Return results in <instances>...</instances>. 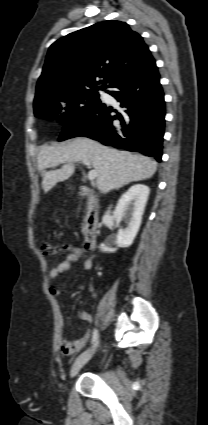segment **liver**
<instances>
[{
  "label": "liver",
  "mask_w": 208,
  "mask_h": 425,
  "mask_svg": "<svg viewBox=\"0 0 208 425\" xmlns=\"http://www.w3.org/2000/svg\"><path fill=\"white\" fill-rule=\"evenodd\" d=\"M88 162L97 172L96 186L106 194L131 182L151 178L157 163L149 157L106 147L88 138H76L66 145L44 146L38 155V170L45 193L69 179L76 162ZM63 164L61 169H46Z\"/></svg>",
  "instance_id": "6515ba94"
}]
</instances>
